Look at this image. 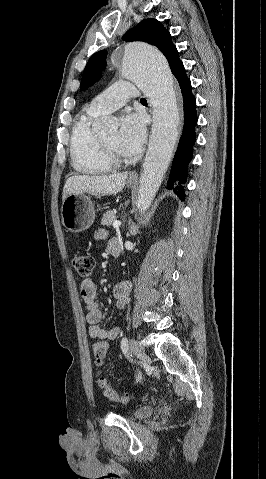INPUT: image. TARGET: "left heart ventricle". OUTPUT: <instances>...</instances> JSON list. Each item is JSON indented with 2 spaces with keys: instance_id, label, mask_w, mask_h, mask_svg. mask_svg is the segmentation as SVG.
Listing matches in <instances>:
<instances>
[{
  "instance_id": "b2bd125f",
  "label": "left heart ventricle",
  "mask_w": 266,
  "mask_h": 479,
  "mask_svg": "<svg viewBox=\"0 0 266 479\" xmlns=\"http://www.w3.org/2000/svg\"><path fill=\"white\" fill-rule=\"evenodd\" d=\"M104 140L109 144V146L119 155H123L119 149L118 145V131L115 130H110L108 132H105L101 135Z\"/></svg>"
}]
</instances>
